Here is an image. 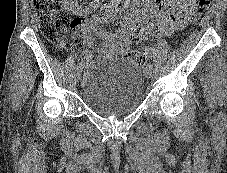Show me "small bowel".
Returning a JSON list of instances; mask_svg holds the SVG:
<instances>
[{
	"label": "small bowel",
	"mask_w": 227,
	"mask_h": 173,
	"mask_svg": "<svg viewBox=\"0 0 227 173\" xmlns=\"http://www.w3.org/2000/svg\"><path fill=\"white\" fill-rule=\"evenodd\" d=\"M196 18L194 0H134L125 13V22L115 33L108 34L100 29V25L107 21L105 18L91 21L87 31L105 41L103 58L127 57L131 52V39L143 41L150 34H173L194 22ZM94 42V37H86L85 47L80 53L82 63L88 68L93 66V53L90 48ZM142 56L145 58L144 54Z\"/></svg>",
	"instance_id": "1"
}]
</instances>
